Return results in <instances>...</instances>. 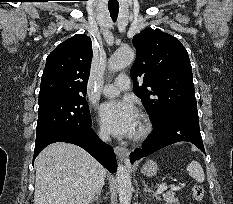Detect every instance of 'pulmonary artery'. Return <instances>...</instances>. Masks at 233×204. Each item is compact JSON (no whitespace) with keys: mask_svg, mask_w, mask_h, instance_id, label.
Segmentation results:
<instances>
[{"mask_svg":"<svg viewBox=\"0 0 233 204\" xmlns=\"http://www.w3.org/2000/svg\"><path fill=\"white\" fill-rule=\"evenodd\" d=\"M130 87V80L127 75H119L113 84H107L103 87L102 93L105 96L112 97L118 95L121 91Z\"/></svg>","mask_w":233,"mask_h":204,"instance_id":"e3ab8cb5","label":"pulmonary artery"}]
</instances>
